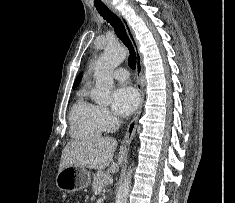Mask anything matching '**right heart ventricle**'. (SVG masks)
Listing matches in <instances>:
<instances>
[{
	"label": "right heart ventricle",
	"mask_w": 235,
	"mask_h": 203,
	"mask_svg": "<svg viewBox=\"0 0 235 203\" xmlns=\"http://www.w3.org/2000/svg\"><path fill=\"white\" fill-rule=\"evenodd\" d=\"M70 133L79 139L99 137L104 129L97 117V106L87 99L82 89L70 112Z\"/></svg>",
	"instance_id": "1"
}]
</instances>
